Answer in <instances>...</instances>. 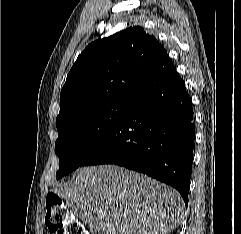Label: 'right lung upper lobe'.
I'll use <instances>...</instances> for the list:
<instances>
[{
    "label": "right lung upper lobe",
    "instance_id": "1",
    "mask_svg": "<svg viewBox=\"0 0 241 234\" xmlns=\"http://www.w3.org/2000/svg\"><path fill=\"white\" fill-rule=\"evenodd\" d=\"M173 68L162 44L140 26L94 41L79 55L66 78L56 126L85 108L131 104Z\"/></svg>",
    "mask_w": 241,
    "mask_h": 234
}]
</instances>
